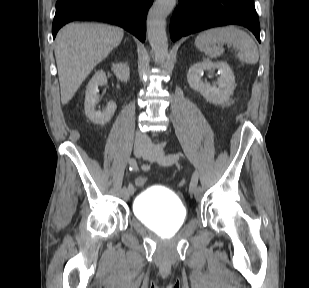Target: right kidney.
<instances>
[{
  "label": "right kidney",
  "mask_w": 309,
  "mask_h": 288,
  "mask_svg": "<svg viewBox=\"0 0 309 288\" xmlns=\"http://www.w3.org/2000/svg\"><path fill=\"white\" fill-rule=\"evenodd\" d=\"M112 71L120 81L127 82L130 78V70L127 64H113ZM106 83V74L101 70L95 73L86 88L84 104L85 114L91 122L99 125H104L110 121L117 108L116 103L109 102L106 109L102 112L95 111L96 103L98 101V86L104 85Z\"/></svg>",
  "instance_id": "right-kidney-1"
}]
</instances>
